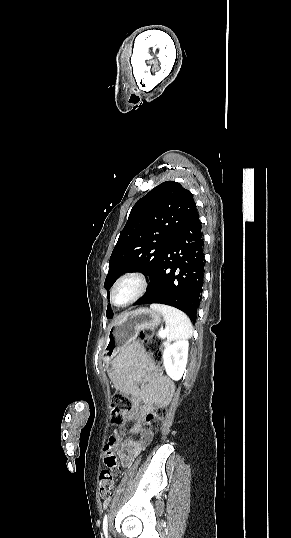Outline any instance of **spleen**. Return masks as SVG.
<instances>
[{
    "instance_id": "obj_1",
    "label": "spleen",
    "mask_w": 291,
    "mask_h": 538,
    "mask_svg": "<svg viewBox=\"0 0 291 538\" xmlns=\"http://www.w3.org/2000/svg\"><path fill=\"white\" fill-rule=\"evenodd\" d=\"M150 308L163 315L168 341L187 339L192 336L193 327L184 312L163 304H152Z\"/></svg>"
}]
</instances>
